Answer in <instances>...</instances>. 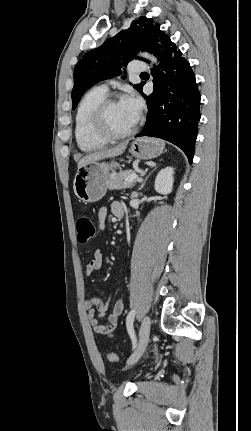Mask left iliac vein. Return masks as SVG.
I'll return each instance as SVG.
<instances>
[{
    "label": "left iliac vein",
    "instance_id": "1",
    "mask_svg": "<svg viewBox=\"0 0 251 431\" xmlns=\"http://www.w3.org/2000/svg\"><path fill=\"white\" fill-rule=\"evenodd\" d=\"M150 326H151L150 318L146 316L143 319L140 327L138 346L128 360L129 365L136 363L144 353L149 341Z\"/></svg>",
    "mask_w": 251,
    "mask_h": 431
}]
</instances>
